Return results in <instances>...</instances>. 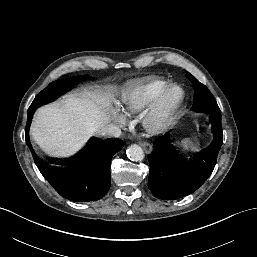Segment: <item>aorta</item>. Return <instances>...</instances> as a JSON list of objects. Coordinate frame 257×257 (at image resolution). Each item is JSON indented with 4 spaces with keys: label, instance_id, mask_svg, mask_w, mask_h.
Segmentation results:
<instances>
[{
    "label": "aorta",
    "instance_id": "aorta-1",
    "mask_svg": "<svg viewBox=\"0 0 257 257\" xmlns=\"http://www.w3.org/2000/svg\"><path fill=\"white\" fill-rule=\"evenodd\" d=\"M127 157L132 161H141L144 158L143 149L136 144L130 145L126 150Z\"/></svg>",
    "mask_w": 257,
    "mask_h": 257
}]
</instances>
